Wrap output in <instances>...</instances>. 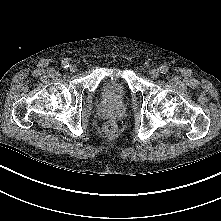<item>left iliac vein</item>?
<instances>
[{"label": "left iliac vein", "instance_id": "1", "mask_svg": "<svg viewBox=\"0 0 221 221\" xmlns=\"http://www.w3.org/2000/svg\"><path fill=\"white\" fill-rule=\"evenodd\" d=\"M159 75H160V72H159V70L156 69V68H153V69L150 71V76H151L152 78H157V77H159Z\"/></svg>", "mask_w": 221, "mask_h": 221}]
</instances>
